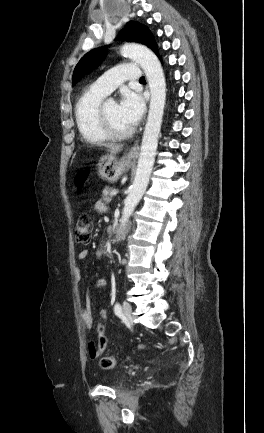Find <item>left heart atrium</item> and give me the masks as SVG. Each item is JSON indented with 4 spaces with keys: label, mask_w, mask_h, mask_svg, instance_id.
<instances>
[{
    "label": "left heart atrium",
    "mask_w": 264,
    "mask_h": 433,
    "mask_svg": "<svg viewBox=\"0 0 264 433\" xmlns=\"http://www.w3.org/2000/svg\"><path fill=\"white\" fill-rule=\"evenodd\" d=\"M145 105L142 97L132 91H124L119 103L123 118L132 126L136 125L144 113Z\"/></svg>",
    "instance_id": "obj_1"
}]
</instances>
